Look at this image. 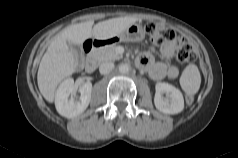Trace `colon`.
Listing matches in <instances>:
<instances>
[{
  "mask_svg": "<svg viewBox=\"0 0 238 158\" xmlns=\"http://www.w3.org/2000/svg\"><path fill=\"white\" fill-rule=\"evenodd\" d=\"M145 29L149 35L150 41L153 45L160 46L167 42L177 41L180 43V48L177 58L181 63H191L197 59V54L193 46L185 42L176 31L161 23L149 22ZM193 101V96L186 95V102L190 104Z\"/></svg>",
  "mask_w": 238,
  "mask_h": 158,
  "instance_id": "1",
  "label": "colon"
}]
</instances>
